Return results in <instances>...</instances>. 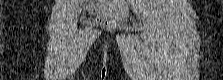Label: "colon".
I'll list each match as a JSON object with an SVG mask.
<instances>
[{"label":"colon","mask_w":223,"mask_h":80,"mask_svg":"<svg viewBox=\"0 0 223 80\" xmlns=\"http://www.w3.org/2000/svg\"><path fill=\"white\" fill-rule=\"evenodd\" d=\"M99 22H100V24H102L104 26H112V25H114V20L111 19V18H107V17L99 18Z\"/></svg>","instance_id":"obj_1"}]
</instances>
